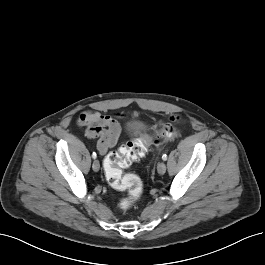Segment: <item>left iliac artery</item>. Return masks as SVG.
<instances>
[{"label": "left iliac artery", "mask_w": 265, "mask_h": 265, "mask_svg": "<svg viewBox=\"0 0 265 265\" xmlns=\"http://www.w3.org/2000/svg\"><path fill=\"white\" fill-rule=\"evenodd\" d=\"M162 159H163L164 161L167 160V155L164 154V155L162 156Z\"/></svg>", "instance_id": "left-iliac-artery-1"}]
</instances>
